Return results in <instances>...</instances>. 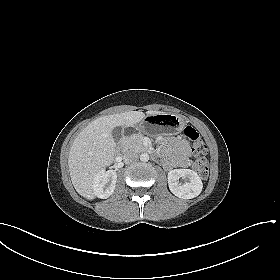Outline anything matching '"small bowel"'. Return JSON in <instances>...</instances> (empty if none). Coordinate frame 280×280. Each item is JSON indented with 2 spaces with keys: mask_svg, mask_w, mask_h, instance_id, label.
<instances>
[{
  "mask_svg": "<svg viewBox=\"0 0 280 280\" xmlns=\"http://www.w3.org/2000/svg\"><path fill=\"white\" fill-rule=\"evenodd\" d=\"M168 157L162 161V165L166 170L186 168L191 157V150L189 143L180 138L177 141L166 145Z\"/></svg>",
  "mask_w": 280,
  "mask_h": 280,
  "instance_id": "small-bowel-1",
  "label": "small bowel"
}]
</instances>
